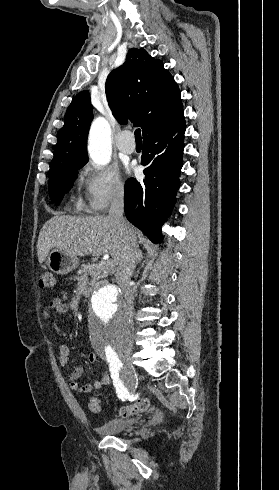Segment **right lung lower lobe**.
Here are the masks:
<instances>
[{
	"mask_svg": "<svg viewBox=\"0 0 279 490\" xmlns=\"http://www.w3.org/2000/svg\"><path fill=\"white\" fill-rule=\"evenodd\" d=\"M185 120L143 138L142 165L145 178L125 184V215L154 242L161 241V226L171 214L179 188L184 150Z\"/></svg>",
	"mask_w": 279,
	"mask_h": 490,
	"instance_id": "98d812e1",
	"label": "right lung lower lobe"
}]
</instances>
